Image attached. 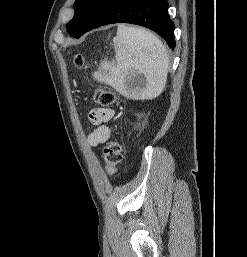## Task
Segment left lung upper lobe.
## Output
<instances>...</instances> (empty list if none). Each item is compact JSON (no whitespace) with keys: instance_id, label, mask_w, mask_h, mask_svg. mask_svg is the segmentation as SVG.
Here are the masks:
<instances>
[{"instance_id":"obj_1","label":"left lung upper lobe","mask_w":247,"mask_h":257,"mask_svg":"<svg viewBox=\"0 0 247 257\" xmlns=\"http://www.w3.org/2000/svg\"><path fill=\"white\" fill-rule=\"evenodd\" d=\"M97 0H76L74 3L75 14L73 19L67 24V30L70 35L76 34L84 21L86 20L88 14L90 13L92 7Z\"/></svg>"}]
</instances>
